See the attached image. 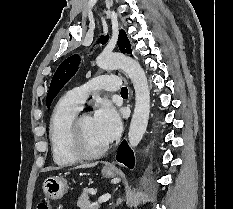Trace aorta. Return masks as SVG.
<instances>
[{
    "instance_id": "1",
    "label": "aorta",
    "mask_w": 233,
    "mask_h": 209,
    "mask_svg": "<svg viewBox=\"0 0 233 209\" xmlns=\"http://www.w3.org/2000/svg\"><path fill=\"white\" fill-rule=\"evenodd\" d=\"M96 64L102 69H122L135 89V108L128 132V143L135 148L146 132L150 114V90L144 70L138 61L122 54H100Z\"/></svg>"
}]
</instances>
